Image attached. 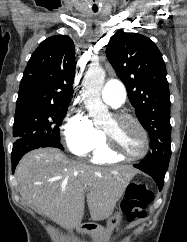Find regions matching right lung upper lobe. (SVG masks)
Masks as SVG:
<instances>
[{"label": "right lung upper lobe", "mask_w": 187, "mask_h": 242, "mask_svg": "<svg viewBox=\"0 0 187 242\" xmlns=\"http://www.w3.org/2000/svg\"><path fill=\"white\" fill-rule=\"evenodd\" d=\"M75 50L66 35L47 38L25 68L16 107H68L73 96Z\"/></svg>", "instance_id": "1"}]
</instances>
